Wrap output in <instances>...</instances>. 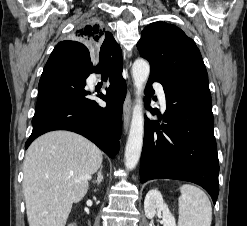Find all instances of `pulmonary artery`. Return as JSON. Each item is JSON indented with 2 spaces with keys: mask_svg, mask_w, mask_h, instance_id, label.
<instances>
[{
  "mask_svg": "<svg viewBox=\"0 0 247 226\" xmlns=\"http://www.w3.org/2000/svg\"><path fill=\"white\" fill-rule=\"evenodd\" d=\"M154 87L156 89L160 104H161L162 108L165 109L166 108V98H165V93H164L163 87L159 83H155Z\"/></svg>",
  "mask_w": 247,
  "mask_h": 226,
  "instance_id": "pulmonary-artery-1",
  "label": "pulmonary artery"
}]
</instances>
